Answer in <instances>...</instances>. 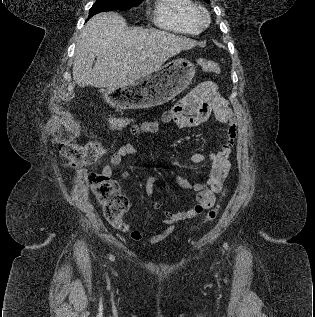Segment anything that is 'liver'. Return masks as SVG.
<instances>
[{
	"label": "liver",
	"mask_w": 315,
	"mask_h": 317,
	"mask_svg": "<svg viewBox=\"0 0 315 317\" xmlns=\"http://www.w3.org/2000/svg\"><path fill=\"white\" fill-rule=\"evenodd\" d=\"M196 43L166 31L129 28L115 12L99 13L86 23L77 41L73 80L80 87L123 88Z\"/></svg>",
	"instance_id": "obj_1"
}]
</instances>
